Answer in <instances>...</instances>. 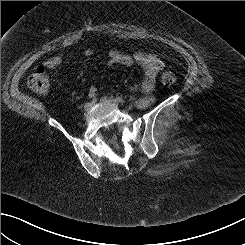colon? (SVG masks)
<instances>
[{
  "mask_svg": "<svg viewBox=\"0 0 245 245\" xmlns=\"http://www.w3.org/2000/svg\"><path fill=\"white\" fill-rule=\"evenodd\" d=\"M161 81L164 85L170 86L176 82V75L170 70L162 73ZM28 87L36 94L45 96L49 91L50 79L44 67L38 68L27 79Z\"/></svg>",
  "mask_w": 245,
  "mask_h": 245,
  "instance_id": "5ec220e1",
  "label": "colon"
}]
</instances>
